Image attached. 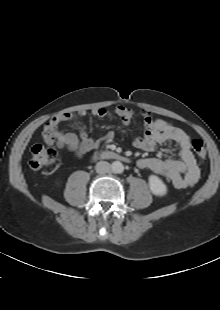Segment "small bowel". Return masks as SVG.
I'll list each match as a JSON object with an SVG mask.
<instances>
[{
    "label": "small bowel",
    "instance_id": "small-bowel-1",
    "mask_svg": "<svg viewBox=\"0 0 220 310\" xmlns=\"http://www.w3.org/2000/svg\"><path fill=\"white\" fill-rule=\"evenodd\" d=\"M86 111L76 113L65 112L52 117L44 126L41 137L47 145H56L81 158L85 154L94 151L102 143L113 140L114 131H108L102 138L95 139L88 135L83 124L78 126L79 135L59 131V125L63 121H69L76 116H86ZM97 118L117 116L123 124H128L134 117L132 108L117 106L113 110L98 108L92 111ZM140 115L144 120L145 130L142 137L136 139L135 146L145 151H153L156 146L165 141L175 142L180 149L179 159L144 158L139 161V167L149 169L165 177L175 188L183 189L195 185L200 178V169L192 151L191 138L182 128L163 119H154L151 112L142 109Z\"/></svg>",
    "mask_w": 220,
    "mask_h": 310
}]
</instances>
